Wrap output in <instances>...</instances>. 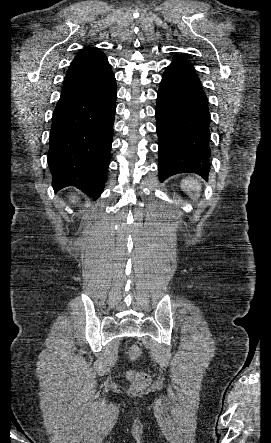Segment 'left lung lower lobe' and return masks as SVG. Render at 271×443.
Listing matches in <instances>:
<instances>
[{"instance_id":"obj_1","label":"left lung lower lobe","mask_w":271,"mask_h":443,"mask_svg":"<svg viewBox=\"0 0 271 443\" xmlns=\"http://www.w3.org/2000/svg\"><path fill=\"white\" fill-rule=\"evenodd\" d=\"M208 100L192 64L177 56L159 86L156 128L159 178L192 172L205 180L210 168Z\"/></svg>"}]
</instances>
